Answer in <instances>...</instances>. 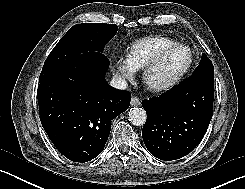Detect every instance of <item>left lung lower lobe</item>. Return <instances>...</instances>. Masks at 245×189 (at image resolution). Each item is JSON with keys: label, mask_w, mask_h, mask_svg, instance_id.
Masks as SVG:
<instances>
[{"label": "left lung lower lobe", "mask_w": 245, "mask_h": 189, "mask_svg": "<svg viewBox=\"0 0 245 189\" xmlns=\"http://www.w3.org/2000/svg\"><path fill=\"white\" fill-rule=\"evenodd\" d=\"M213 98L214 80L194 75L160 97L143 100L142 137L148 151L165 161L189 154L207 131Z\"/></svg>", "instance_id": "obj_1"}]
</instances>
